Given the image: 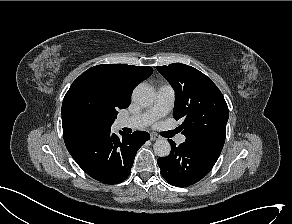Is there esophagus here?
I'll return each instance as SVG.
<instances>
[{"instance_id":"esophagus-1","label":"esophagus","mask_w":292,"mask_h":224,"mask_svg":"<svg viewBox=\"0 0 292 224\" xmlns=\"http://www.w3.org/2000/svg\"><path fill=\"white\" fill-rule=\"evenodd\" d=\"M161 137L158 135V134H156V133H151L150 134V139L152 140V141H155V140H159Z\"/></svg>"}]
</instances>
